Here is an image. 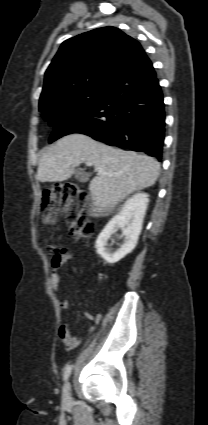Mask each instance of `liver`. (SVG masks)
Returning <instances> with one entry per match:
<instances>
[{"label":"liver","instance_id":"1","mask_svg":"<svg viewBox=\"0 0 208 425\" xmlns=\"http://www.w3.org/2000/svg\"><path fill=\"white\" fill-rule=\"evenodd\" d=\"M86 162H91L96 171H104L98 172L89 185L93 216L111 212L133 192L154 185L160 171V163L153 157L113 148L74 133L59 139L42 154L37 180L65 181L77 166Z\"/></svg>","mask_w":208,"mask_h":425}]
</instances>
